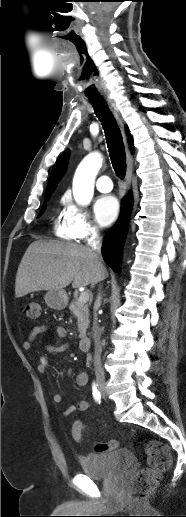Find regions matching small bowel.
Returning a JSON list of instances; mask_svg holds the SVG:
<instances>
[{"instance_id":"1","label":"small bowel","mask_w":186,"mask_h":517,"mask_svg":"<svg viewBox=\"0 0 186 517\" xmlns=\"http://www.w3.org/2000/svg\"><path fill=\"white\" fill-rule=\"evenodd\" d=\"M48 329H49V326L46 325V324L36 326L29 333V335L26 337V339L23 341V344H22L23 349L29 350L31 348V346H32V343L36 340V338L39 335L45 333ZM54 333H55V338H56L55 342L53 344L47 345L46 346V350L50 354H53V355H56V354H59V353L67 351L69 349V344L62 341V339L66 336V330L64 328H62V327H55L54 328ZM48 367H49L48 359L45 356H40L38 358L37 369L40 372H45L48 369ZM67 372H68V374H71V370L70 369H67ZM88 380H89V377H88L87 372L83 371V372H80L79 374H77V376L75 378V383H76L77 386L83 387V386L87 385ZM61 400H62L61 394L55 393L53 395V401L55 403H60ZM89 407H90V402L89 401H87V400H80L75 405L69 406L64 411V414L65 415H71V414H73V413H75L77 411L84 412V411L88 410ZM78 424H81V423L80 422H76L74 424V426H76ZM74 426H73V428H74ZM83 430H84V425H83V427L81 429V435H82Z\"/></svg>"}]
</instances>
